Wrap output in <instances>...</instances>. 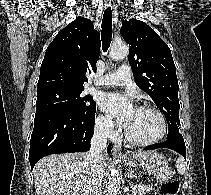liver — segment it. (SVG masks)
Segmentation results:
<instances>
[{
	"mask_svg": "<svg viewBox=\"0 0 211 195\" xmlns=\"http://www.w3.org/2000/svg\"><path fill=\"white\" fill-rule=\"evenodd\" d=\"M153 152H133L132 156L139 160ZM107 164L103 157L104 173ZM33 174L37 195H87L90 166L84 153L46 156L36 163Z\"/></svg>",
	"mask_w": 211,
	"mask_h": 195,
	"instance_id": "obj_1",
	"label": "liver"
}]
</instances>
